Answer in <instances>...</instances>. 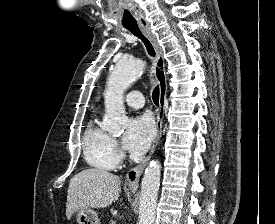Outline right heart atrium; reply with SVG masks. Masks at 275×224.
<instances>
[{
	"label": "right heart atrium",
	"instance_id": "right-heart-atrium-1",
	"mask_svg": "<svg viewBox=\"0 0 275 224\" xmlns=\"http://www.w3.org/2000/svg\"><path fill=\"white\" fill-rule=\"evenodd\" d=\"M115 148H117V143L114 141Z\"/></svg>",
	"mask_w": 275,
	"mask_h": 224
}]
</instances>
